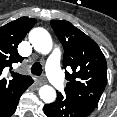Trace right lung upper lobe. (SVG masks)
<instances>
[{"label":"right lung upper lobe","mask_w":117,"mask_h":117,"mask_svg":"<svg viewBox=\"0 0 117 117\" xmlns=\"http://www.w3.org/2000/svg\"><path fill=\"white\" fill-rule=\"evenodd\" d=\"M36 23V19L21 17L0 27V112L6 109L32 82L29 76L18 73L7 80L2 76L5 67L14 62H21L18 44Z\"/></svg>","instance_id":"cb5924a9"}]
</instances>
